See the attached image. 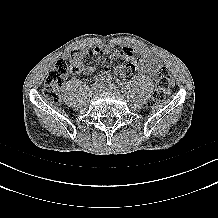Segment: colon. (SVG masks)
Returning a JSON list of instances; mask_svg holds the SVG:
<instances>
[{
  "mask_svg": "<svg viewBox=\"0 0 218 218\" xmlns=\"http://www.w3.org/2000/svg\"><path fill=\"white\" fill-rule=\"evenodd\" d=\"M71 71V66L68 61L59 60L48 74L44 86L43 94L51 102L57 103L60 100V87L65 82ZM113 72L118 75L122 72V67L117 66ZM157 85L156 89L149 101V105L154 107L162 102L168 95L171 87V77L169 70L162 66L157 71Z\"/></svg>",
  "mask_w": 218,
  "mask_h": 218,
  "instance_id": "1",
  "label": "colon"
}]
</instances>
